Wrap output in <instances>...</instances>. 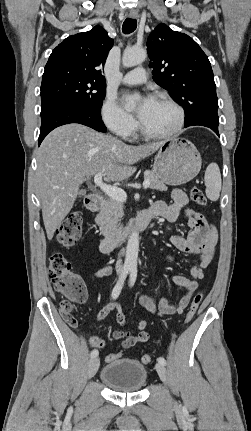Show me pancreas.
<instances>
[{
  "instance_id": "obj_1",
  "label": "pancreas",
  "mask_w": 251,
  "mask_h": 431,
  "mask_svg": "<svg viewBox=\"0 0 251 431\" xmlns=\"http://www.w3.org/2000/svg\"><path fill=\"white\" fill-rule=\"evenodd\" d=\"M145 179L150 180L149 187L151 189L161 191L167 189L164 182H162L153 171H146ZM123 215V203L110 197L96 217V223L99 225L100 230L105 237H111L116 234L119 222Z\"/></svg>"
}]
</instances>
